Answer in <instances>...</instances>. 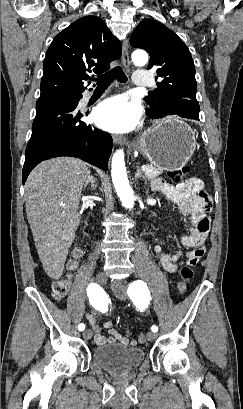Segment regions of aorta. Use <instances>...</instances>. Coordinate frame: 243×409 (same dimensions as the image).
Segmentation results:
<instances>
[{"label":"aorta","instance_id":"obj_1","mask_svg":"<svg viewBox=\"0 0 243 409\" xmlns=\"http://www.w3.org/2000/svg\"><path fill=\"white\" fill-rule=\"evenodd\" d=\"M132 61L135 65L143 66L148 61V55L143 51H136L132 54ZM112 181L122 205L131 210L134 207V193L129 185L123 150H117L112 157L111 164Z\"/></svg>","mask_w":243,"mask_h":409}]
</instances>
